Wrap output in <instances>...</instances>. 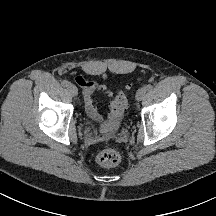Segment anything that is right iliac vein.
Listing matches in <instances>:
<instances>
[{
	"instance_id": "63e3f726",
	"label": "right iliac vein",
	"mask_w": 216,
	"mask_h": 216,
	"mask_svg": "<svg viewBox=\"0 0 216 216\" xmlns=\"http://www.w3.org/2000/svg\"><path fill=\"white\" fill-rule=\"evenodd\" d=\"M67 89L72 96H76L78 94V90H77L76 86L73 84H69Z\"/></svg>"
}]
</instances>
